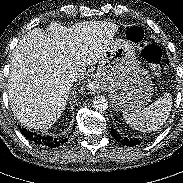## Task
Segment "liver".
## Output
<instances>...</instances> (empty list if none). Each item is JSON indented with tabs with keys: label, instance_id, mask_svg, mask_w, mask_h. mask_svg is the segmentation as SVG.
Returning <instances> with one entry per match:
<instances>
[{
	"label": "liver",
	"instance_id": "6515ba94",
	"mask_svg": "<svg viewBox=\"0 0 183 183\" xmlns=\"http://www.w3.org/2000/svg\"><path fill=\"white\" fill-rule=\"evenodd\" d=\"M118 27L113 22L84 21L69 28L51 23L45 32L30 30L13 52L8 75V98L14 116L28 128H50L67 104L73 81L85 66L97 63Z\"/></svg>",
	"mask_w": 183,
	"mask_h": 183
}]
</instances>
